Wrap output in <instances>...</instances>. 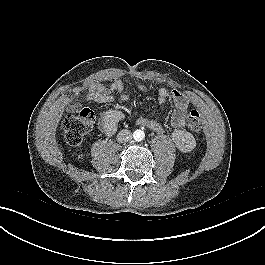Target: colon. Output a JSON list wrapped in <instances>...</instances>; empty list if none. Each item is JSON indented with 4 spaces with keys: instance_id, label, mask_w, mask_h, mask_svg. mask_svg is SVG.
Masks as SVG:
<instances>
[{
    "instance_id": "1",
    "label": "colon",
    "mask_w": 265,
    "mask_h": 265,
    "mask_svg": "<svg viewBox=\"0 0 265 265\" xmlns=\"http://www.w3.org/2000/svg\"><path fill=\"white\" fill-rule=\"evenodd\" d=\"M94 114L84 108L77 114L67 115L62 122L64 138L70 145H79L85 134L92 130ZM187 127L194 133L202 131V117L197 110H190L187 116Z\"/></svg>"
}]
</instances>
